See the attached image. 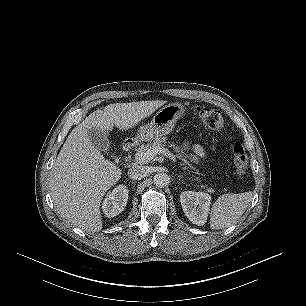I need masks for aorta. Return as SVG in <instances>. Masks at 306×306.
Instances as JSON below:
<instances>
[{"label":"aorta","instance_id":"1","mask_svg":"<svg viewBox=\"0 0 306 306\" xmlns=\"http://www.w3.org/2000/svg\"><path fill=\"white\" fill-rule=\"evenodd\" d=\"M169 176L166 173H158L154 176V184L156 187L163 188L169 184Z\"/></svg>","mask_w":306,"mask_h":306}]
</instances>
